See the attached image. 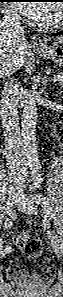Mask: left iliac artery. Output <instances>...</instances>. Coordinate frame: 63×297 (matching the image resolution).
Here are the masks:
<instances>
[{
  "instance_id": "1",
  "label": "left iliac artery",
  "mask_w": 63,
  "mask_h": 297,
  "mask_svg": "<svg viewBox=\"0 0 63 297\" xmlns=\"http://www.w3.org/2000/svg\"><path fill=\"white\" fill-rule=\"evenodd\" d=\"M30 201H32V203L40 204L43 207L46 217H48L49 219L53 217V214L51 212V208L49 205V201L45 196L41 194H33L31 195ZM52 238H53V235H52Z\"/></svg>"
}]
</instances>
